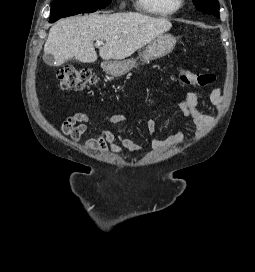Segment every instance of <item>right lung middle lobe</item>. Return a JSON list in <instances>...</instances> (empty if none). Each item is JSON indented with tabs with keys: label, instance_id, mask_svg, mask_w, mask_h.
Returning <instances> with one entry per match:
<instances>
[{
	"label": "right lung middle lobe",
	"instance_id": "dd1d6c3e",
	"mask_svg": "<svg viewBox=\"0 0 255 272\" xmlns=\"http://www.w3.org/2000/svg\"><path fill=\"white\" fill-rule=\"evenodd\" d=\"M112 0H54L51 7L49 22L60 18L80 14L92 13L97 9L105 8Z\"/></svg>",
	"mask_w": 255,
	"mask_h": 272
}]
</instances>
